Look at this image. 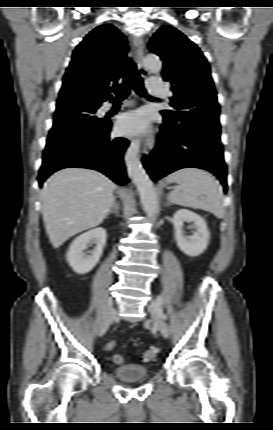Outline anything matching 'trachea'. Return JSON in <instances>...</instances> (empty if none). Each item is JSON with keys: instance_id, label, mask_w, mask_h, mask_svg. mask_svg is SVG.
Listing matches in <instances>:
<instances>
[{"instance_id": "trachea-1", "label": "trachea", "mask_w": 273, "mask_h": 430, "mask_svg": "<svg viewBox=\"0 0 273 430\" xmlns=\"http://www.w3.org/2000/svg\"><path fill=\"white\" fill-rule=\"evenodd\" d=\"M131 86L139 95L149 99H154L150 97L144 89L143 80L137 72L135 63L131 61V59H128L125 64V76L123 78L122 85H120L119 89L115 92L116 100L120 101L127 98L130 93Z\"/></svg>"}]
</instances>
